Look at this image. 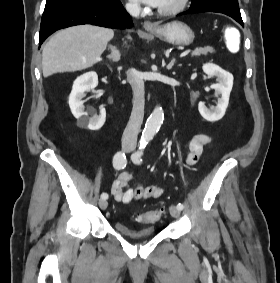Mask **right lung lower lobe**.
Masks as SVG:
<instances>
[{
  "instance_id": "right-lung-lower-lobe-1",
  "label": "right lung lower lobe",
  "mask_w": 280,
  "mask_h": 283,
  "mask_svg": "<svg viewBox=\"0 0 280 283\" xmlns=\"http://www.w3.org/2000/svg\"><path fill=\"white\" fill-rule=\"evenodd\" d=\"M131 16L120 0H109L105 4H66L44 10L39 32V44L59 29L81 24H92L108 28H130Z\"/></svg>"
}]
</instances>
